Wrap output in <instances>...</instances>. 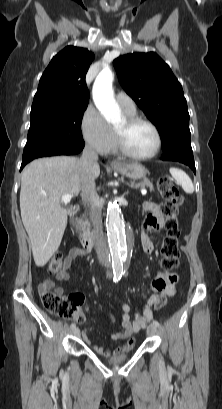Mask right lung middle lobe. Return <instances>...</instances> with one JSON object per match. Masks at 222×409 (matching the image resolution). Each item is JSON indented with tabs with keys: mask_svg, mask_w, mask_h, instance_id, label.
Returning <instances> with one entry per match:
<instances>
[{
	"mask_svg": "<svg viewBox=\"0 0 222 409\" xmlns=\"http://www.w3.org/2000/svg\"><path fill=\"white\" fill-rule=\"evenodd\" d=\"M87 103L31 109V125L23 160L46 155H70L84 146L80 125Z\"/></svg>",
	"mask_w": 222,
	"mask_h": 409,
	"instance_id": "dd1d6c3e",
	"label": "right lung middle lobe"
}]
</instances>
